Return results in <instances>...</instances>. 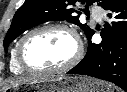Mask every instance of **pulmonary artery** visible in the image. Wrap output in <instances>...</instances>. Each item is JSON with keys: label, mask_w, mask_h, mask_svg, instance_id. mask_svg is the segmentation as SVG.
<instances>
[{"label": "pulmonary artery", "mask_w": 127, "mask_h": 92, "mask_svg": "<svg viewBox=\"0 0 127 92\" xmlns=\"http://www.w3.org/2000/svg\"><path fill=\"white\" fill-rule=\"evenodd\" d=\"M92 13H93V16H94V18H95L96 21H99V22L102 21L103 16H104V13H103L102 10L94 9L92 11Z\"/></svg>", "instance_id": "e3ab8cb5"}]
</instances>
